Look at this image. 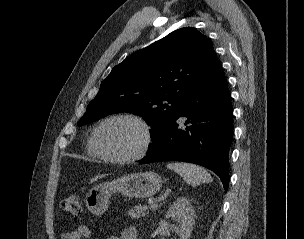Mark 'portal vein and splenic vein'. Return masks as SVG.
<instances>
[{
    "label": "portal vein and splenic vein",
    "instance_id": "obj_1",
    "mask_svg": "<svg viewBox=\"0 0 304 239\" xmlns=\"http://www.w3.org/2000/svg\"><path fill=\"white\" fill-rule=\"evenodd\" d=\"M157 206H158V203L154 202L150 205V209H155V208H157Z\"/></svg>",
    "mask_w": 304,
    "mask_h": 239
}]
</instances>
